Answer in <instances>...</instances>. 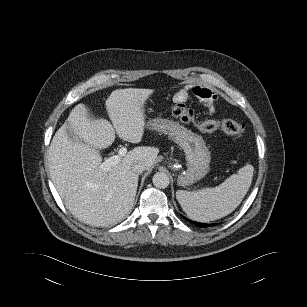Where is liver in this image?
<instances>
[{
	"mask_svg": "<svg viewBox=\"0 0 307 307\" xmlns=\"http://www.w3.org/2000/svg\"><path fill=\"white\" fill-rule=\"evenodd\" d=\"M153 93V89L114 90L105 102L112 124L95 118L80 103L55 133L48 151L50 178L67 209L83 223L108 226L120 222L131 211L139 179L132 166L141 162L146 170L150 169L159 149L135 147L107 172L99 168V150L112 145L115 133L130 143L141 141L144 107Z\"/></svg>",
	"mask_w": 307,
	"mask_h": 307,
	"instance_id": "liver-1",
	"label": "liver"
}]
</instances>
